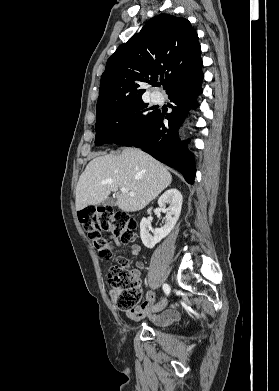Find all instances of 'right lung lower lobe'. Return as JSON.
Returning a JSON list of instances; mask_svg holds the SVG:
<instances>
[{"label": "right lung lower lobe", "instance_id": "1", "mask_svg": "<svg viewBox=\"0 0 279 391\" xmlns=\"http://www.w3.org/2000/svg\"><path fill=\"white\" fill-rule=\"evenodd\" d=\"M203 77L200 71L168 94L172 102L170 114L156 110L151 117L124 133L114 143L140 147L157 160L177 169L188 183L193 184L196 172L193 154L186 148L188 141L179 140L177 131L186 112L198 107L196 99L203 92Z\"/></svg>", "mask_w": 279, "mask_h": 391}]
</instances>
